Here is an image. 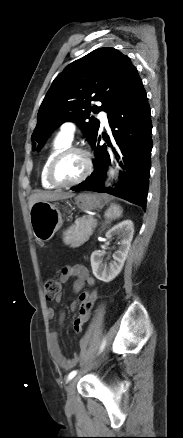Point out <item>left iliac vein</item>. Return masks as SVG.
Masks as SVG:
<instances>
[{
	"instance_id": "4c4485c4",
	"label": "left iliac vein",
	"mask_w": 183,
	"mask_h": 438,
	"mask_svg": "<svg viewBox=\"0 0 183 438\" xmlns=\"http://www.w3.org/2000/svg\"><path fill=\"white\" fill-rule=\"evenodd\" d=\"M76 384H77V378H73L70 383L68 384L66 391H67V407L73 408L76 403L75 398V390H76Z\"/></svg>"
}]
</instances>
